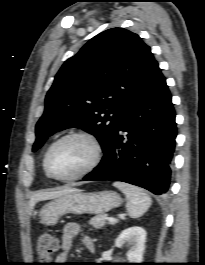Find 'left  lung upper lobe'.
Wrapping results in <instances>:
<instances>
[{"mask_svg": "<svg viewBox=\"0 0 205 265\" xmlns=\"http://www.w3.org/2000/svg\"><path fill=\"white\" fill-rule=\"evenodd\" d=\"M156 64L150 47L126 29L112 28L92 38L57 73L36 125L33 152L50 135L70 127L93 134L104 152L122 110Z\"/></svg>", "mask_w": 205, "mask_h": 265, "instance_id": "1", "label": "left lung upper lobe"}]
</instances>
